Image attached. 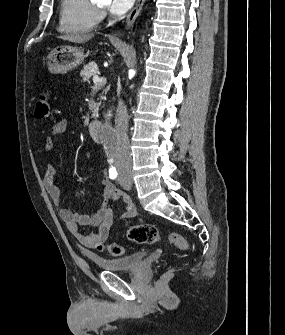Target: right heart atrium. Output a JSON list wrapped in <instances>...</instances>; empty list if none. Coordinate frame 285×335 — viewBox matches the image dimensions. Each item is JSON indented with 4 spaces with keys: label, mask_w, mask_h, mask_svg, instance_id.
Masks as SVG:
<instances>
[{
    "label": "right heart atrium",
    "mask_w": 285,
    "mask_h": 335,
    "mask_svg": "<svg viewBox=\"0 0 285 335\" xmlns=\"http://www.w3.org/2000/svg\"><path fill=\"white\" fill-rule=\"evenodd\" d=\"M98 16H99V19H102L104 17V12L103 11H99L98 12Z\"/></svg>",
    "instance_id": "1"
}]
</instances>
